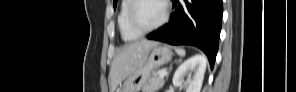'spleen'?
Returning <instances> with one entry per match:
<instances>
[{
    "instance_id": "3e777b00",
    "label": "spleen",
    "mask_w": 296,
    "mask_h": 92,
    "mask_svg": "<svg viewBox=\"0 0 296 92\" xmlns=\"http://www.w3.org/2000/svg\"><path fill=\"white\" fill-rule=\"evenodd\" d=\"M175 51L181 57L185 56L186 54V51L183 48H175Z\"/></svg>"
}]
</instances>
